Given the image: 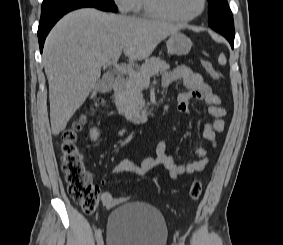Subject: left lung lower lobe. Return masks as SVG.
Masks as SVG:
<instances>
[{
  "mask_svg": "<svg viewBox=\"0 0 283 245\" xmlns=\"http://www.w3.org/2000/svg\"><path fill=\"white\" fill-rule=\"evenodd\" d=\"M223 36L230 42V45L233 48L234 36H229V35H223Z\"/></svg>",
  "mask_w": 283,
  "mask_h": 245,
  "instance_id": "left-lung-lower-lobe-1",
  "label": "left lung lower lobe"
}]
</instances>
